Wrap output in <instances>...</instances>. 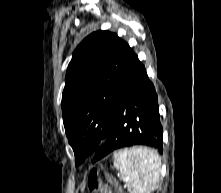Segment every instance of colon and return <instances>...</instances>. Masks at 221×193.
<instances>
[{"mask_svg": "<svg viewBox=\"0 0 221 193\" xmlns=\"http://www.w3.org/2000/svg\"><path fill=\"white\" fill-rule=\"evenodd\" d=\"M107 178L110 181L112 180V177L109 174H107ZM87 187H88L89 191H91V192H100L101 193L102 183L99 178V171L98 170H93L89 174L88 180H87Z\"/></svg>", "mask_w": 221, "mask_h": 193, "instance_id": "obj_1", "label": "colon"}]
</instances>
